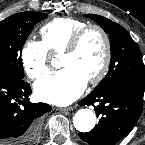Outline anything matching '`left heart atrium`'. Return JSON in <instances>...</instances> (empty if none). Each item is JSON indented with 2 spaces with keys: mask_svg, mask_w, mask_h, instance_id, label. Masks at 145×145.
Wrapping results in <instances>:
<instances>
[{
  "mask_svg": "<svg viewBox=\"0 0 145 145\" xmlns=\"http://www.w3.org/2000/svg\"><path fill=\"white\" fill-rule=\"evenodd\" d=\"M88 80L74 67H64L56 74L44 77L34 84L36 96L55 105H67L84 91Z\"/></svg>",
  "mask_w": 145,
  "mask_h": 145,
  "instance_id": "39dd6f15",
  "label": "left heart atrium"
}]
</instances>
